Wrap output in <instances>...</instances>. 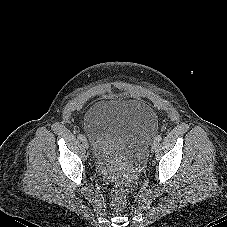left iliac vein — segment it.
<instances>
[{
    "label": "left iliac vein",
    "instance_id": "1",
    "mask_svg": "<svg viewBox=\"0 0 227 227\" xmlns=\"http://www.w3.org/2000/svg\"><path fill=\"white\" fill-rule=\"evenodd\" d=\"M159 143L155 140L153 141L152 145H151V151L154 152L157 147H158Z\"/></svg>",
    "mask_w": 227,
    "mask_h": 227
}]
</instances>
